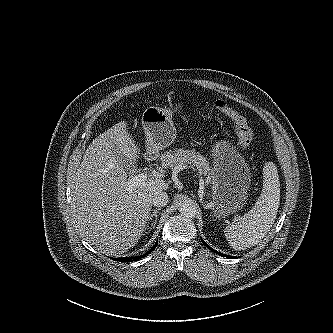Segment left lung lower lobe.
Returning a JSON list of instances; mask_svg holds the SVG:
<instances>
[{"instance_id":"obj_1","label":"left lung lower lobe","mask_w":333,"mask_h":333,"mask_svg":"<svg viewBox=\"0 0 333 333\" xmlns=\"http://www.w3.org/2000/svg\"><path fill=\"white\" fill-rule=\"evenodd\" d=\"M202 240V243L210 250H212L214 253L220 255V256H224V257H229V258H234L233 256H228V255H225V254H222L221 252H217L216 250L212 249L208 244L205 243V241L203 239Z\"/></svg>"}]
</instances>
